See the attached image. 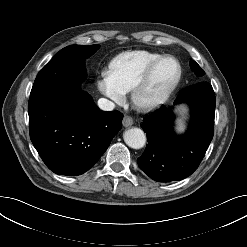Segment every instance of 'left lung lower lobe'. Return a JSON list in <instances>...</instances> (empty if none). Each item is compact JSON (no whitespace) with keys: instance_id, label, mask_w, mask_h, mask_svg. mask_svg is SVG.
Wrapping results in <instances>:
<instances>
[{"instance_id":"left-lung-lower-lobe-1","label":"left lung lower lobe","mask_w":247,"mask_h":247,"mask_svg":"<svg viewBox=\"0 0 247 247\" xmlns=\"http://www.w3.org/2000/svg\"><path fill=\"white\" fill-rule=\"evenodd\" d=\"M187 102L192 113L188 132L177 137L172 131L171 107H160L141 125L148 144L137 159L139 167L157 182L179 181L199 166L214 132L215 93L211 84L200 82L183 90L174 104Z\"/></svg>"}]
</instances>
